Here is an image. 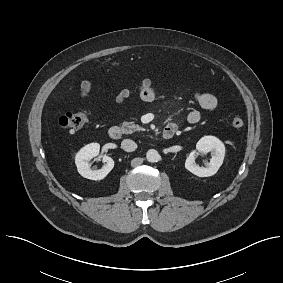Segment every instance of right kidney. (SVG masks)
Masks as SVG:
<instances>
[{"label":"right kidney","mask_w":283,"mask_h":283,"mask_svg":"<svg viewBox=\"0 0 283 283\" xmlns=\"http://www.w3.org/2000/svg\"><path fill=\"white\" fill-rule=\"evenodd\" d=\"M100 145L98 143H91L83 147L75 157L77 170L81 176L91 180L104 179L114 167V160L104 155L102 161L105 163L101 169L92 170L89 162L99 155Z\"/></svg>","instance_id":"right-kidney-1"}]
</instances>
